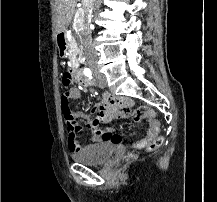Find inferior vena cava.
Instances as JSON below:
<instances>
[{
	"instance_id": "602c4592",
	"label": "inferior vena cava",
	"mask_w": 217,
	"mask_h": 202,
	"mask_svg": "<svg viewBox=\"0 0 217 202\" xmlns=\"http://www.w3.org/2000/svg\"><path fill=\"white\" fill-rule=\"evenodd\" d=\"M95 0H82L83 8L85 10V26L87 30H82L83 50L86 58H96V52L94 50L92 42V32L89 30V24H91V12L93 10Z\"/></svg>"
}]
</instances>
